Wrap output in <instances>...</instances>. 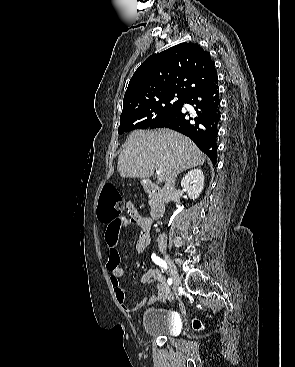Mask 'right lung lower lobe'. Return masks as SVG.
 <instances>
[{
    "instance_id": "right-lung-lower-lobe-1",
    "label": "right lung lower lobe",
    "mask_w": 295,
    "mask_h": 367,
    "mask_svg": "<svg viewBox=\"0 0 295 367\" xmlns=\"http://www.w3.org/2000/svg\"><path fill=\"white\" fill-rule=\"evenodd\" d=\"M190 104L194 111L184 109ZM220 121L218 77L186 96L183 105L149 128H170L188 136L216 164L217 135Z\"/></svg>"
}]
</instances>
